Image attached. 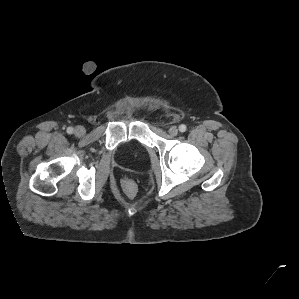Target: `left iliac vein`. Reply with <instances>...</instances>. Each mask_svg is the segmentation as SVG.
Wrapping results in <instances>:
<instances>
[{
  "label": "left iliac vein",
  "mask_w": 299,
  "mask_h": 299,
  "mask_svg": "<svg viewBox=\"0 0 299 299\" xmlns=\"http://www.w3.org/2000/svg\"><path fill=\"white\" fill-rule=\"evenodd\" d=\"M168 132L171 136H176L178 134V128L176 126H171Z\"/></svg>",
  "instance_id": "4c4485c4"
}]
</instances>
